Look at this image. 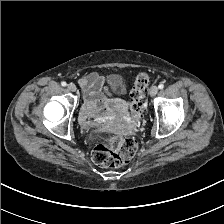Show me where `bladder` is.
<instances>
[{
  "instance_id": "31cf9c89",
  "label": "bladder",
  "mask_w": 224,
  "mask_h": 224,
  "mask_svg": "<svg viewBox=\"0 0 224 224\" xmlns=\"http://www.w3.org/2000/svg\"><path fill=\"white\" fill-rule=\"evenodd\" d=\"M109 83L113 89L120 90L124 88L118 75L112 74L109 76Z\"/></svg>"
}]
</instances>
